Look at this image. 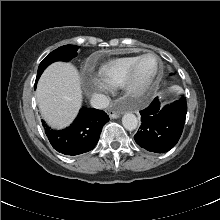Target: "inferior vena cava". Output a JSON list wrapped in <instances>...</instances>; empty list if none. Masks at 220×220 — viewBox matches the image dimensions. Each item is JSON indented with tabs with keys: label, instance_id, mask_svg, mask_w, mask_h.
Segmentation results:
<instances>
[{
	"label": "inferior vena cava",
	"instance_id": "1",
	"mask_svg": "<svg viewBox=\"0 0 220 220\" xmlns=\"http://www.w3.org/2000/svg\"><path fill=\"white\" fill-rule=\"evenodd\" d=\"M90 103L96 109H104L109 105V99L103 94H95L92 96Z\"/></svg>",
	"mask_w": 220,
	"mask_h": 220
}]
</instances>
